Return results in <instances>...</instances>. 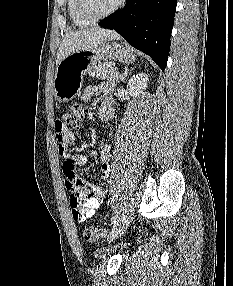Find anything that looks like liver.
<instances>
[{
  "label": "liver",
  "instance_id": "1",
  "mask_svg": "<svg viewBox=\"0 0 233 286\" xmlns=\"http://www.w3.org/2000/svg\"><path fill=\"white\" fill-rule=\"evenodd\" d=\"M120 36L113 30L100 27H91L65 34L57 53L56 65L68 55L98 47L109 40L119 39Z\"/></svg>",
  "mask_w": 233,
  "mask_h": 286
}]
</instances>
